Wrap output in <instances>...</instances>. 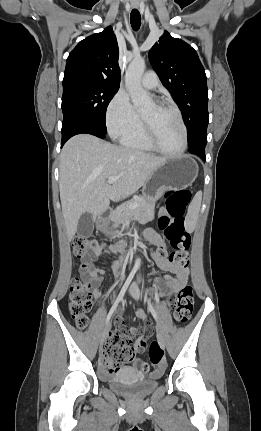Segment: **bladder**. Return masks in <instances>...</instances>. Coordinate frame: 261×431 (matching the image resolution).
I'll use <instances>...</instances> for the list:
<instances>
[{
	"label": "bladder",
	"mask_w": 261,
	"mask_h": 431,
	"mask_svg": "<svg viewBox=\"0 0 261 431\" xmlns=\"http://www.w3.org/2000/svg\"><path fill=\"white\" fill-rule=\"evenodd\" d=\"M156 378L158 377H140L133 368L125 367L109 377V386L114 392L125 397H144L157 388L158 380Z\"/></svg>",
	"instance_id": "31cf9c89"
}]
</instances>
